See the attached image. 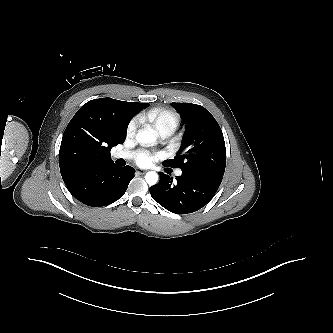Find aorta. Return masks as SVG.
<instances>
[{"label": "aorta", "instance_id": "1", "mask_svg": "<svg viewBox=\"0 0 333 333\" xmlns=\"http://www.w3.org/2000/svg\"><path fill=\"white\" fill-rule=\"evenodd\" d=\"M157 139V132L153 129L139 130L136 134V140L141 144H151ZM159 176L156 172L150 171L145 175V181L148 185L152 186L158 182Z\"/></svg>", "mask_w": 333, "mask_h": 333}]
</instances>
